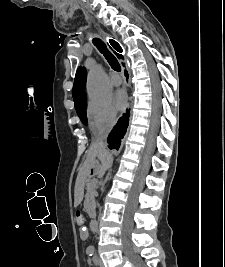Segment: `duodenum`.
<instances>
[{
	"instance_id": "duodenum-1",
	"label": "duodenum",
	"mask_w": 225,
	"mask_h": 267,
	"mask_svg": "<svg viewBox=\"0 0 225 267\" xmlns=\"http://www.w3.org/2000/svg\"><path fill=\"white\" fill-rule=\"evenodd\" d=\"M90 226H91V229H92V230H96V229H97V221H96L95 219H93V220L91 221Z\"/></svg>"
}]
</instances>
